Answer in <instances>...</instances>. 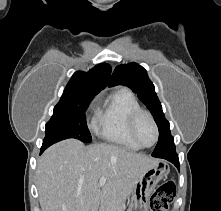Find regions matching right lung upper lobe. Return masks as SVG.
Listing matches in <instances>:
<instances>
[{
    "label": "right lung upper lobe",
    "instance_id": "obj_1",
    "mask_svg": "<svg viewBox=\"0 0 221 211\" xmlns=\"http://www.w3.org/2000/svg\"><path fill=\"white\" fill-rule=\"evenodd\" d=\"M111 66L98 64L88 72H75L68 82L60 100L79 96L96 95L107 85H111Z\"/></svg>",
    "mask_w": 221,
    "mask_h": 211
}]
</instances>
